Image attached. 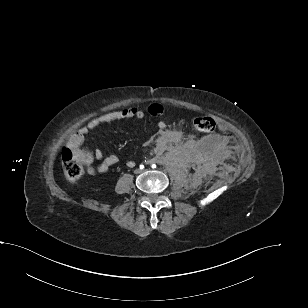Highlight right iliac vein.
I'll list each match as a JSON object with an SVG mask.
<instances>
[{
    "label": "right iliac vein",
    "instance_id": "obj_1",
    "mask_svg": "<svg viewBox=\"0 0 308 308\" xmlns=\"http://www.w3.org/2000/svg\"><path fill=\"white\" fill-rule=\"evenodd\" d=\"M134 173H135V174H140V173H141V170L137 168V169L134 170Z\"/></svg>",
    "mask_w": 308,
    "mask_h": 308
}]
</instances>
